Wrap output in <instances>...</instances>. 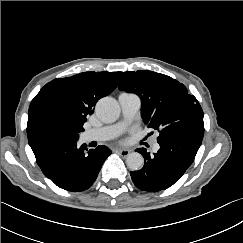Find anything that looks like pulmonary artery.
<instances>
[{
	"label": "pulmonary artery",
	"instance_id": "obj_1",
	"mask_svg": "<svg viewBox=\"0 0 243 243\" xmlns=\"http://www.w3.org/2000/svg\"><path fill=\"white\" fill-rule=\"evenodd\" d=\"M119 102L122 109V121L101 128L91 129L82 133L84 142L108 140L119 135L125 127L134 118L141 106L140 98L135 94L122 93L119 96ZM160 146L157 142L153 143V150H159Z\"/></svg>",
	"mask_w": 243,
	"mask_h": 243
}]
</instances>
